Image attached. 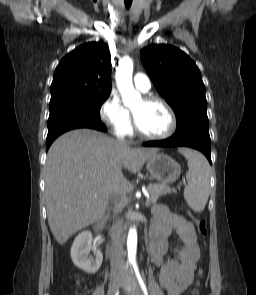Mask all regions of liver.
I'll list each match as a JSON object with an SVG mask.
<instances>
[{
  "label": "liver",
  "mask_w": 256,
  "mask_h": 295,
  "mask_svg": "<svg viewBox=\"0 0 256 295\" xmlns=\"http://www.w3.org/2000/svg\"><path fill=\"white\" fill-rule=\"evenodd\" d=\"M157 148H133L90 129L72 130L51 145L45 165L48 223L63 245L77 231L99 221L114 190L126 195L132 184L122 169L141 170Z\"/></svg>",
  "instance_id": "6515ba94"
}]
</instances>
